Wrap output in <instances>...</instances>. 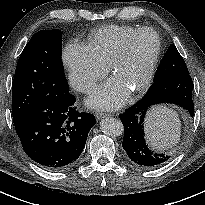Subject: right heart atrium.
I'll return each mask as SVG.
<instances>
[{
	"mask_svg": "<svg viewBox=\"0 0 205 205\" xmlns=\"http://www.w3.org/2000/svg\"><path fill=\"white\" fill-rule=\"evenodd\" d=\"M62 61L71 84L83 93L91 92L107 73V67L93 56L89 48L76 41L67 43Z\"/></svg>",
	"mask_w": 205,
	"mask_h": 205,
	"instance_id": "d8ad5b80",
	"label": "right heart atrium"
}]
</instances>
